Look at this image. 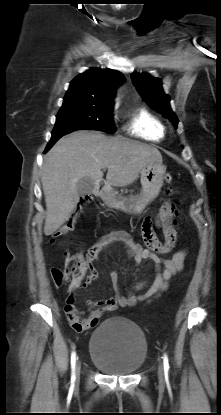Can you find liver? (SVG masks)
<instances>
[{
  "mask_svg": "<svg viewBox=\"0 0 221 415\" xmlns=\"http://www.w3.org/2000/svg\"><path fill=\"white\" fill-rule=\"evenodd\" d=\"M162 163L158 149L123 137L80 130L62 137L47 153L41 177L46 203L44 234L49 236L71 216L79 202L76 184L83 177L103 178L109 186L124 187L137 180L141 170Z\"/></svg>",
  "mask_w": 221,
  "mask_h": 415,
  "instance_id": "6515ba94",
  "label": "liver"
}]
</instances>
